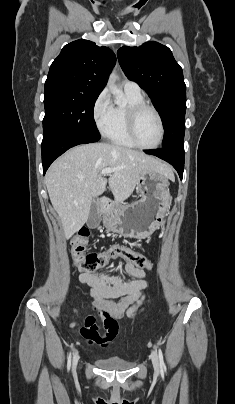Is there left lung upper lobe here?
I'll list each match as a JSON object with an SVG mask.
<instances>
[{
  "label": "left lung upper lobe",
  "instance_id": "5c2ea615",
  "mask_svg": "<svg viewBox=\"0 0 235 404\" xmlns=\"http://www.w3.org/2000/svg\"><path fill=\"white\" fill-rule=\"evenodd\" d=\"M117 56L128 79L146 91L160 113L165 128L162 146L183 144L186 85L171 50L151 41L139 47L124 46Z\"/></svg>",
  "mask_w": 235,
  "mask_h": 404
}]
</instances>
